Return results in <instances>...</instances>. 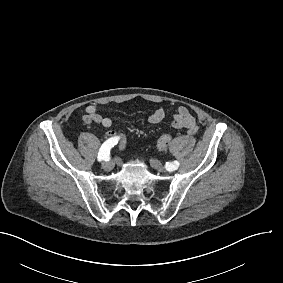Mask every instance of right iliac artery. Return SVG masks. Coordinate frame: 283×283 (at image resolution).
I'll return each mask as SVG.
<instances>
[{"label":"right iliac artery","instance_id":"right-iliac-artery-1","mask_svg":"<svg viewBox=\"0 0 283 283\" xmlns=\"http://www.w3.org/2000/svg\"><path fill=\"white\" fill-rule=\"evenodd\" d=\"M118 137H112L108 140H106L100 150H99V153H98V161H102V160H108L109 158V154H110V149L112 147H114V145H116L118 143Z\"/></svg>","mask_w":283,"mask_h":283}]
</instances>
